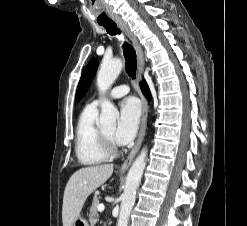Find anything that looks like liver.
<instances>
[{
	"label": "liver",
	"mask_w": 247,
	"mask_h": 226,
	"mask_svg": "<svg viewBox=\"0 0 247 226\" xmlns=\"http://www.w3.org/2000/svg\"><path fill=\"white\" fill-rule=\"evenodd\" d=\"M113 173L112 164L83 167L69 179L63 196V226H72L79 218L87 197L109 179Z\"/></svg>",
	"instance_id": "obj_1"
}]
</instances>
